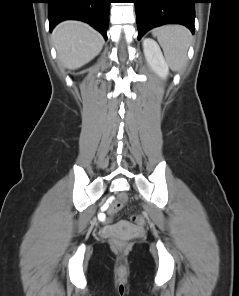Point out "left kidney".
<instances>
[{
    "label": "left kidney",
    "mask_w": 239,
    "mask_h": 296,
    "mask_svg": "<svg viewBox=\"0 0 239 296\" xmlns=\"http://www.w3.org/2000/svg\"><path fill=\"white\" fill-rule=\"evenodd\" d=\"M143 51L150 68L161 79H166L169 74V68L157 42L151 38H146L143 41Z\"/></svg>",
    "instance_id": "5707ae66"
}]
</instances>
